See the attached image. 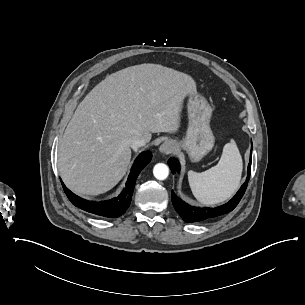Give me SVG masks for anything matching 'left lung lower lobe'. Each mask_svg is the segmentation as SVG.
Instances as JSON below:
<instances>
[{"mask_svg":"<svg viewBox=\"0 0 305 305\" xmlns=\"http://www.w3.org/2000/svg\"><path fill=\"white\" fill-rule=\"evenodd\" d=\"M168 165L172 171V173H176L180 171V164L175 158H170L168 160ZM251 173V155L250 162L248 164V175L245 183L241 186L239 191L235 194V196L226 204L215 207V208H198L193 207L179 199L176 194L172 191V203L175 210L182 217V219L187 223H193L198 221H204L206 219L214 218L223 214H226L232 211L240 202L242 196L245 193V190L248 185V181Z\"/></svg>","mask_w":305,"mask_h":305,"instance_id":"left-lung-lower-lobe-1","label":"left lung lower lobe"}]
</instances>
